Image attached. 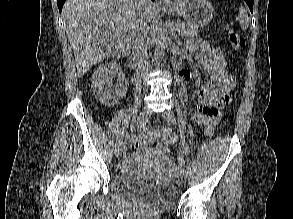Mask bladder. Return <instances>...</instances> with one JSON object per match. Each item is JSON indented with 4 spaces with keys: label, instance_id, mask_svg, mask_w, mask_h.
<instances>
[{
    "label": "bladder",
    "instance_id": "1",
    "mask_svg": "<svg viewBox=\"0 0 293 219\" xmlns=\"http://www.w3.org/2000/svg\"><path fill=\"white\" fill-rule=\"evenodd\" d=\"M114 186L136 201L157 209L175 206L179 199V190L166 179H148L131 169H120L113 176Z\"/></svg>",
    "mask_w": 293,
    "mask_h": 219
}]
</instances>
